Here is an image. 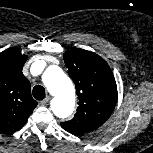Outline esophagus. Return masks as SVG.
<instances>
[{"label":"esophagus","mask_w":153,"mask_h":153,"mask_svg":"<svg viewBox=\"0 0 153 153\" xmlns=\"http://www.w3.org/2000/svg\"><path fill=\"white\" fill-rule=\"evenodd\" d=\"M49 100H50V97L47 96L45 99H43L42 101H40V104L41 105H46L49 102Z\"/></svg>","instance_id":"1"}]
</instances>
